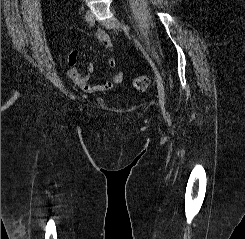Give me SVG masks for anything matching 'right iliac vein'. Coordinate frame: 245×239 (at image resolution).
<instances>
[{
	"mask_svg": "<svg viewBox=\"0 0 245 239\" xmlns=\"http://www.w3.org/2000/svg\"><path fill=\"white\" fill-rule=\"evenodd\" d=\"M85 20L91 22L93 20V13L91 10H87L85 13Z\"/></svg>",
	"mask_w": 245,
	"mask_h": 239,
	"instance_id": "obj_1",
	"label": "right iliac vein"
}]
</instances>
